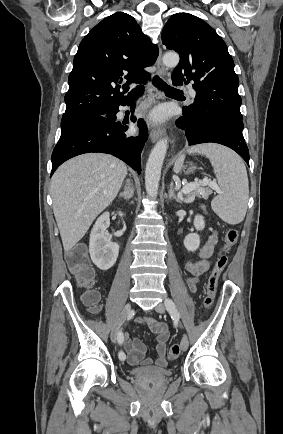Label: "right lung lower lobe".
Here are the masks:
<instances>
[{
    "label": "right lung lower lobe",
    "instance_id": "1",
    "mask_svg": "<svg viewBox=\"0 0 283 434\" xmlns=\"http://www.w3.org/2000/svg\"><path fill=\"white\" fill-rule=\"evenodd\" d=\"M132 98L119 104H131ZM108 110L104 116L88 118L73 124L61 132V137L52 153V171L66 160L89 152L111 154L126 162L134 170L141 173V151L148 139L147 129L142 119L138 120L140 127L138 136H128L125 123L115 122L118 106ZM133 122L135 116H131Z\"/></svg>",
    "mask_w": 283,
    "mask_h": 434
}]
</instances>
